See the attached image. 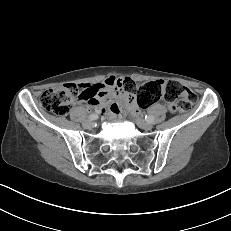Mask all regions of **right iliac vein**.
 <instances>
[{"instance_id":"63e3f726","label":"right iliac vein","mask_w":231,"mask_h":231,"mask_svg":"<svg viewBox=\"0 0 231 231\" xmlns=\"http://www.w3.org/2000/svg\"><path fill=\"white\" fill-rule=\"evenodd\" d=\"M92 125H93L92 120H86V121H84V123H83V126L86 127V128H89V127H91Z\"/></svg>"}]
</instances>
